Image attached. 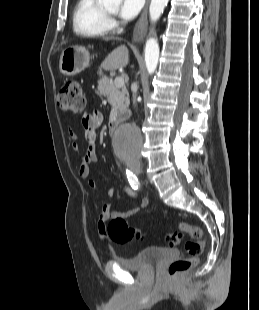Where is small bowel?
I'll list each match as a JSON object with an SVG mask.
<instances>
[{
	"label": "small bowel",
	"instance_id": "obj_1",
	"mask_svg": "<svg viewBox=\"0 0 259 310\" xmlns=\"http://www.w3.org/2000/svg\"><path fill=\"white\" fill-rule=\"evenodd\" d=\"M103 115L100 111H93L92 113H86L81 119V124L83 127L84 141L86 143V152L82 156L81 163L79 166V176L87 181L88 187L95 191L97 190V183L95 180L90 178V169L91 165L97 162V155L95 150V143L98 129L102 123ZM69 137L72 139V149L74 151L79 150V144L77 142V133L74 129L69 128L68 130ZM124 190L132 197H137L136 189H133L129 186H125ZM148 203L147 199H142L139 208H135L127 213L128 216L136 214L141 207L146 206ZM96 216L98 221V230L101 238L104 242H108V231H107V222L117 214H112L109 210V204L102 202L101 205L96 206Z\"/></svg>",
	"mask_w": 259,
	"mask_h": 310
}]
</instances>
